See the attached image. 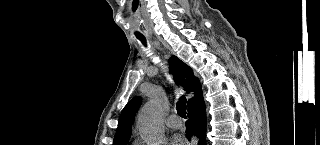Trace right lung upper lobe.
Returning a JSON list of instances; mask_svg holds the SVG:
<instances>
[{
    "label": "right lung upper lobe",
    "mask_w": 320,
    "mask_h": 145,
    "mask_svg": "<svg viewBox=\"0 0 320 145\" xmlns=\"http://www.w3.org/2000/svg\"><path fill=\"white\" fill-rule=\"evenodd\" d=\"M169 64L170 72L173 73L176 82L181 85L185 91H193L195 93V98L187 103L189 108L202 96L200 82L198 78L194 76L192 69L176 56H172L169 59ZM141 102V97H134L122 110L113 145H125L130 138L131 126Z\"/></svg>",
    "instance_id": "right-lung-upper-lobe-1"
}]
</instances>
